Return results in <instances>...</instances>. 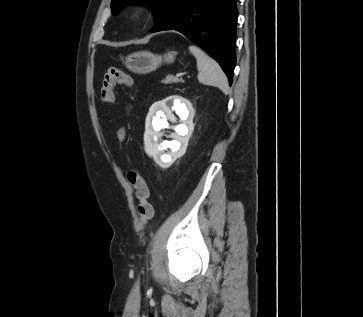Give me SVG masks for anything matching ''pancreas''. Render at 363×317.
I'll list each match as a JSON object with an SVG mask.
<instances>
[{
    "mask_svg": "<svg viewBox=\"0 0 363 317\" xmlns=\"http://www.w3.org/2000/svg\"><path fill=\"white\" fill-rule=\"evenodd\" d=\"M178 82H181V80L178 79L177 77H174L173 75H168V76H166V78L164 80H162V83H164V84L178 83Z\"/></svg>",
    "mask_w": 363,
    "mask_h": 317,
    "instance_id": "obj_1",
    "label": "pancreas"
}]
</instances>
